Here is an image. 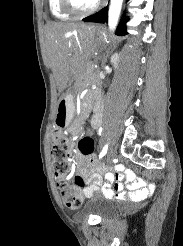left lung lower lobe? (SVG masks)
<instances>
[{
    "mask_svg": "<svg viewBox=\"0 0 183 246\" xmlns=\"http://www.w3.org/2000/svg\"><path fill=\"white\" fill-rule=\"evenodd\" d=\"M86 22H97V23H105V21L107 20V8L100 10L99 12H97L96 14H93L89 17H86L83 19ZM128 18L123 16L117 30H116V34L117 35H126V22H127Z\"/></svg>",
    "mask_w": 183,
    "mask_h": 246,
    "instance_id": "left-lung-lower-lobe-1",
    "label": "left lung lower lobe"
}]
</instances>
